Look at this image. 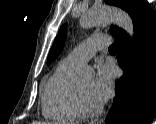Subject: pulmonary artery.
Wrapping results in <instances>:
<instances>
[{"mask_svg":"<svg viewBox=\"0 0 156 124\" xmlns=\"http://www.w3.org/2000/svg\"><path fill=\"white\" fill-rule=\"evenodd\" d=\"M109 45L110 38L107 35L90 37L75 47L63 61L72 66L81 65L90 60L99 50Z\"/></svg>","mask_w":156,"mask_h":124,"instance_id":"e3ab8cb5","label":"pulmonary artery"}]
</instances>
